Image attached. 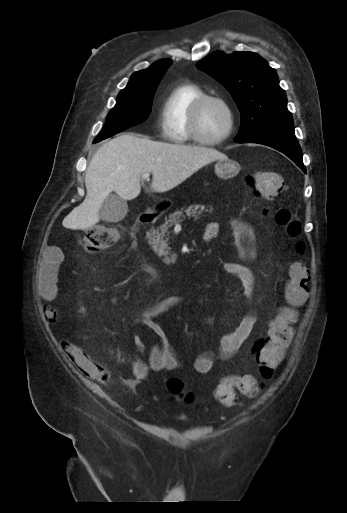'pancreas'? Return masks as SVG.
Wrapping results in <instances>:
<instances>
[{
  "label": "pancreas",
  "mask_w": 347,
  "mask_h": 513,
  "mask_svg": "<svg viewBox=\"0 0 347 513\" xmlns=\"http://www.w3.org/2000/svg\"><path fill=\"white\" fill-rule=\"evenodd\" d=\"M201 207V205L194 204L190 205L188 208H181L180 210H176L175 212L168 214V216L165 218V222L153 231L152 247L154 252L159 257H167V255L169 254V238H165L166 233L167 236H169L168 229L173 225L184 221L187 217H194L195 219H198L199 215L203 211V208Z\"/></svg>",
  "instance_id": "pancreas-1"
}]
</instances>
